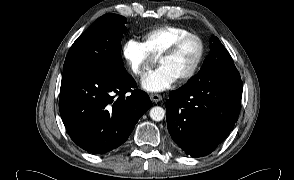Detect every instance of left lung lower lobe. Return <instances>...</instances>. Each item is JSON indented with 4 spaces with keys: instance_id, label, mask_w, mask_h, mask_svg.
<instances>
[{
    "instance_id": "obj_1",
    "label": "left lung lower lobe",
    "mask_w": 294,
    "mask_h": 180,
    "mask_svg": "<svg viewBox=\"0 0 294 180\" xmlns=\"http://www.w3.org/2000/svg\"><path fill=\"white\" fill-rule=\"evenodd\" d=\"M242 89L240 79L182 86L172 91L166 101L171 138L192 157L213 152L238 120Z\"/></svg>"
}]
</instances>
